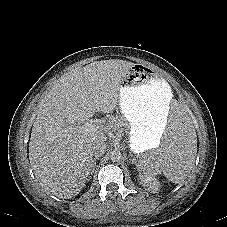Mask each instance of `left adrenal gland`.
<instances>
[{"instance_id": "left-adrenal-gland-1", "label": "left adrenal gland", "mask_w": 227, "mask_h": 227, "mask_svg": "<svg viewBox=\"0 0 227 227\" xmlns=\"http://www.w3.org/2000/svg\"><path fill=\"white\" fill-rule=\"evenodd\" d=\"M130 164H136V159L131 154Z\"/></svg>"}]
</instances>
